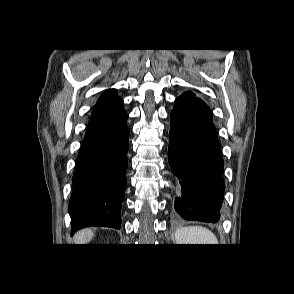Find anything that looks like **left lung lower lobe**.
Here are the masks:
<instances>
[{
	"mask_svg": "<svg viewBox=\"0 0 294 294\" xmlns=\"http://www.w3.org/2000/svg\"><path fill=\"white\" fill-rule=\"evenodd\" d=\"M168 159L177 177L176 213L216 223L223 202V158L210 108L192 92L175 100L170 115Z\"/></svg>",
	"mask_w": 294,
	"mask_h": 294,
	"instance_id": "0a47b994",
	"label": "left lung lower lobe"
}]
</instances>
